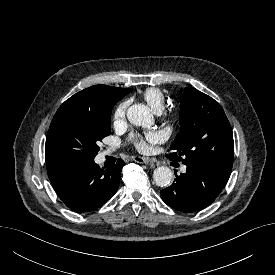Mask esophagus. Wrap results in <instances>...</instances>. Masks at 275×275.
Listing matches in <instances>:
<instances>
[{
  "mask_svg": "<svg viewBox=\"0 0 275 275\" xmlns=\"http://www.w3.org/2000/svg\"><path fill=\"white\" fill-rule=\"evenodd\" d=\"M134 161L137 162V163H151V162H154L153 159L151 158H148V157H140V156H137L134 158Z\"/></svg>",
  "mask_w": 275,
  "mask_h": 275,
  "instance_id": "34e87169",
  "label": "esophagus"
}]
</instances>
